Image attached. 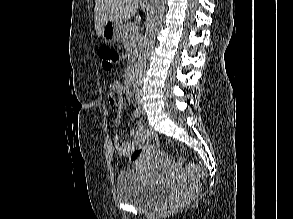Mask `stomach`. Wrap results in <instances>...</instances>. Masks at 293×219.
Returning a JSON list of instances; mask_svg holds the SVG:
<instances>
[{
	"mask_svg": "<svg viewBox=\"0 0 293 219\" xmlns=\"http://www.w3.org/2000/svg\"><path fill=\"white\" fill-rule=\"evenodd\" d=\"M125 25L120 20L108 21L101 33V37L105 43H117L123 36Z\"/></svg>",
	"mask_w": 293,
	"mask_h": 219,
	"instance_id": "stomach-1",
	"label": "stomach"
}]
</instances>
